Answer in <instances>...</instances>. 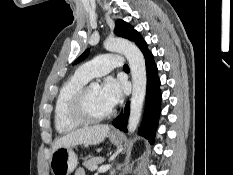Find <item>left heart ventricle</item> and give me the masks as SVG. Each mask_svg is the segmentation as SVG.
<instances>
[{
    "label": "left heart ventricle",
    "mask_w": 233,
    "mask_h": 175,
    "mask_svg": "<svg viewBox=\"0 0 233 175\" xmlns=\"http://www.w3.org/2000/svg\"><path fill=\"white\" fill-rule=\"evenodd\" d=\"M88 107L92 114L103 115L111 110L101 96L98 86L90 87L88 91Z\"/></svg>",
    "instance_id": "1"
}]
</instances>
